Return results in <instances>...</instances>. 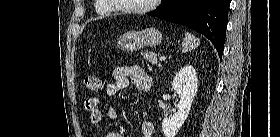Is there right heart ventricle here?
<instances>
[{
	"mask_svg": "<svg viewBox=\"0 0 280 137\" xmlns=\"http://www.w3.org/2000/svg\"><path fill=\"white\" fill-rule=\"evenodd\" d=\"M94 11L102 17L107 16L112 12L110 6L107 4V0H95Z\"/></svg>",
	"mask_w": 280,
	"mask_h": 137,
	"instance_id": "1",
	"label": "right heart ventricle"
}]
</instances>
